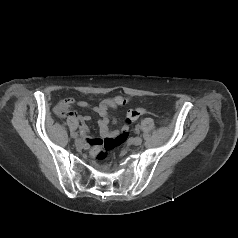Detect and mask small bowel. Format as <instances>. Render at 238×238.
<instances>
[{"instance_id": "c3829d8e", "label": "small bowel", "mask_w": 238, "mask_h": 238, "mask_svg": "<svg viewBox=\"0 0 238 238\" xmlns=\"http://www.w3.org/2000/svg\"><path fill=\"white\" fill-rule=\"evenodd\" d=\"M126 103V100L123 97H115V98H106L100 100L98 105L92 106L85 100H76L73 97H68L63 99L59 102V104L55 108L56 114L61 118H67V117H73L78 119L81 122L80 131L82 134H86L88 132V127L85 124L86 121L90 120V116L88 115H81L74 111H72V107L74 105H77L82 108H89L96 112L100 119L98 120V126L101 133V136L105 138H111L116 137L120 133L117 130L111 131L109 129V116H108V110L116 109L118 105H124ZM101 139H95V138H88L87 144L88 146H92L96 144L97 141Z\"/></svg>"}]
</instances>
